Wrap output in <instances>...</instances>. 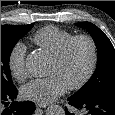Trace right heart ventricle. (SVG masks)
Instances as JSON below:
<instances>
[{
  "mask_svg": "<svg viewBox=\"0 0 115 115\" xmlns=\"http://www.w3.org/2000/svg\"><path fill=\"white\" fill-rule=\"evenodd\" d=\"M74 35L56 26H46L35 33L32 40L48 55L53 57L62 45Z\"/></svg>",
  "mask_w": 115,
  "mask_h": 115,
  "instance_id": "e07e8e85",
  "label": "right heart ventricle"
}]
</instances>
